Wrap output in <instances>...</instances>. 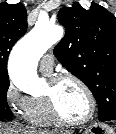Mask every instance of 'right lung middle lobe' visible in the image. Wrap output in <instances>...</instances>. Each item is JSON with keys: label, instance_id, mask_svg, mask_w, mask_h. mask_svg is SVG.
<instances>
[{"label": "right lung middle lobe", "instance_id": "dd1d6c3e", "mask_svg": "<svg viewBox=\"0 0 116 134\" xmlns=\"http://www.w3.org/2000/svg\"><path fill=\"white\" fill-rule=\"evenodd\" d=\"M8 88V76H0V119L10 118L12 115L6 100Z\"/></svg>", "mask_w": 116, "mask_h": 134}]
</instances>
